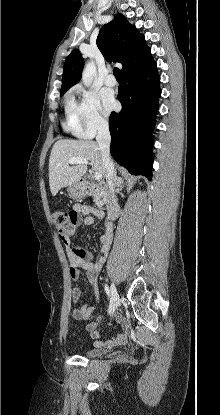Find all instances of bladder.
<instances>
[{"label":"bladder","mask_w":220,"mask_h":415,"mask_svg":"<svg viewBox=\"0 0 220 415\" xmlns=\"http://www.w3.org/2000/svg\"><path fill=\"white\" fill-rule=\"evenodd\" d=\"M105 353V349H103L102 347H98L93 345L91 348L87 349L84 352V355L87 357H98L101 356Z\"/></svg>","instance_id":"obj_1"}]
</instances>
